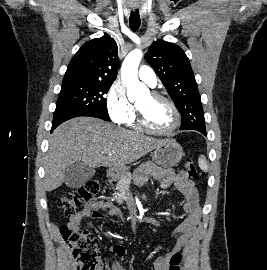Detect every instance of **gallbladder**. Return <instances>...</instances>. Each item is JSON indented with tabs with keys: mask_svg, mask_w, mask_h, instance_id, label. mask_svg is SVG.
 <instances>
[{
	"mask_svg": "<svg viewBox=\"0 0 267 270\" xmlns=\"http://www.w3.org/2000/svg\"><path fill=\"white\" fill-rule=\"evenodd\" d=\"M95 174V169L83 162H75L64 171V183L67 187L77 188L88 182Z\"/></svg>",
	"mask_w": 267,
	"mask_h": 270,
	"instance_id": "obj_1",
	"label": "gallbladder"
}]
</instances>
